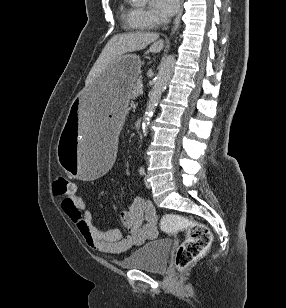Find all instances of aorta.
<instances>
[{
	"label": "aorta",
	"mask_w": 286,
	"mask_h": 308,
	"mask_svg": "<svg viewBox=\"0 0 286 308\" xmlns=\"http://www.w3.org/2000/svg\"><path fill=\"white\" fill-rule=\"evenodd\" d=\"M135 4H145L148 0H132ZM175 56L169 55L167 56L160 64L158 75L155 79L153 89L150 93L149 102L147 104L143 123L142 130L143 135H147L148 125L150 123V119L155 111L158 101L161 98L163 91L166 89V86L174 72L175 68Z\"/></svg>",
	"instance_id": "obj_1"
}]
</instances>
